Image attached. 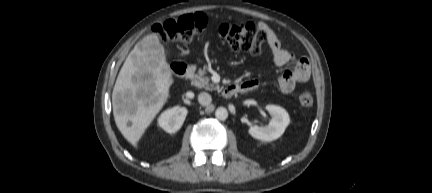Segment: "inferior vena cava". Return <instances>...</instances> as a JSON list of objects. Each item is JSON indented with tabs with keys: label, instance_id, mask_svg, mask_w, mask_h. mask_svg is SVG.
Instances as JSON below:
<instances>
[{
	"label": "inferior vena cava",
	"instance_id": "1",
	"mask_svg": "<svg viewBox=\"0 0 432 193\" xmlns=\"http://www.w3.org/2000/svg\"><path fill=\"white\" fill-rule=\"evenodd\" d=\"M198 101L201 105L207 106L211 103L212 98H211L210 94H208L206 92H202L198 95Z\"/></svg>",
	"mask_w": 432,
	"mask_h": 193
}]
</instances>
